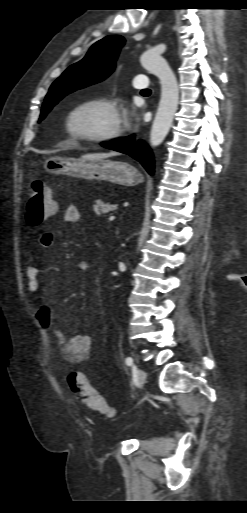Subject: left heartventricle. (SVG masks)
I'll use <instances>...</instances> for the list:
<instances>
[{
    "instance_id": "1",
    "label": "left heart ventricle",
    "mask_w": 247,
    "mask_h": 513,
    "mask_svg": "<svg viewBox=\"0 0 247 513\" xmlns=\"http://www.w3.org/2000/svg\"><path fill=\"white\" fill-rule=\"evenodd\" d=\"M114 124L113 114L101 107H91L76 114L73 125L76 130L87 133H101Z\"/></svg>"
}]
</instances>
